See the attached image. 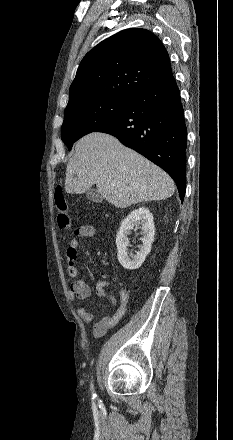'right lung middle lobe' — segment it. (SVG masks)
Returning a JSON list of instances; mask_svg holds the SVG:
<instances>
[{"instance_id": "obj_1", "label": "right lung middle lobe", "mask_w": 233, "mask_h": 440, "mask_svg": "<svg viewBox=\"0 0 233 440\" xmlns=\"http://www.w3.org/2000/svg\"><path fill=\"white\" fill-rule=\"evenodd\" d=\"M129 99L95 97L67 105L61 127L62 141L71 150L73 143L113 121Z\"/></svg>"}]
</instances>
